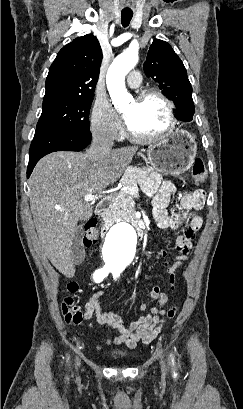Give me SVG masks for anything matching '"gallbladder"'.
Instances as JSON below:
<instances>
[{"label": "gallbladder", "mask_w": 243, "mask_h": 409, "mask_svg": "<svg viewBox=\"0 0 243 409\" xmlns=\"http://www.w3.org/2000/svg\"><path fill=\"white\" fill-rule=\"evenodd\" d=\"M84 255L85 251L82 244V234L80 229L77 228L76 235L71 245V256L74 264L76 265L81 264L82 261L84 260Z\"/></svg>", "instance_id": "gallbladder-1"}]
</instances>
